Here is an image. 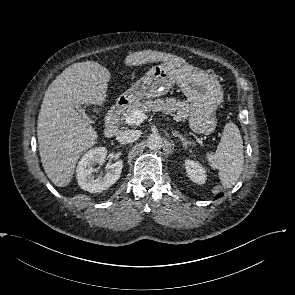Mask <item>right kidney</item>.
Listing matches in <instances>:
<instances>
[{
	"label": "right kidney",
	"mask_w": 295,
	"mask_h": 295,
	"mask_svg": "<svg viewBox=\"0 0 295 295\" xmlns=\"http://www.w3.org/2000/svg\"><path fill=\"white\" fill-rule=\"evenodd\" d=\"M106 155L107 149L105 147H96L89 150L80 159L76 173L78 184L82 189L90 193H99L112 186L120 178L123 168V162L120 160L107 167L102 179L93 178V166L104 163Z\"/></svg>",
	"instance_id": "right-kidney-1"
}]
</instances>
